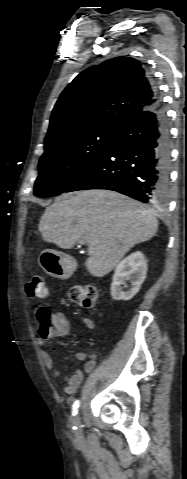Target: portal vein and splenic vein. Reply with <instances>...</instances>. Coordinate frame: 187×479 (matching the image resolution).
Here are the masks:
<instances>
[{"label":"portal vein and splenic vein","mask_w":187,"mask_h":479,"mask_svg":"<svg viewBox=\"0 0 187 479\" xmlns=\"http://www.w3.org/2000/svg\"><path fill=\"white\" fill-rule=\"evenodd\" d=\"M80 244L84 245V244H86V243H85V241H80Z\"/></svg>","instance_id":"1"}]
</instances>
